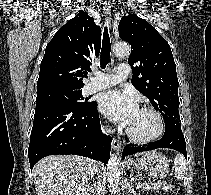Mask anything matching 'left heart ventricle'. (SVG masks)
Instances as JSON below:
<instances>
[{
	"instance_id": "1",
	"label": "left heart ventricle",
	"mask_w": 211,
	"mask_h": 195,
	"mask_svg": "<svg viewBox=\"0 0 211 195\" xmlns=\"http://www.w3.org/2000/svg\"><path fill=\"white\" fill-rule=\"evenodd\" d=\"M128 129L136 136L148 137L157 131L158 121L152 113L139 109Z\"/></svg>"
}]
</instances>
